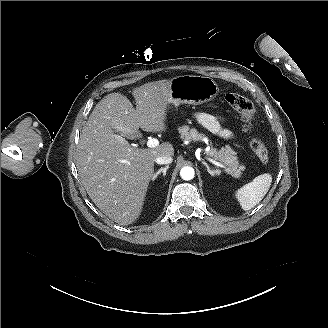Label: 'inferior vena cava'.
Masks as SVG:
<instances>
[{
	"label": "inferior vena cava",
	"instance_id": "602c4592",
	"mask_svg": "<svg viewBox=\"0 0 328 328\" xmlns=\"http://www.w3.org/2000/svg\"><path fill=\"white\" fill-rule=\"evenodd\" d=\"M155 161H156L157 164L162 165V164L172 163L173 159H172L171 156L162 155V156L157 157Z\"/></svg>",
	"mask_w": 328,
	"mask_h": 328
}]
</instances>
